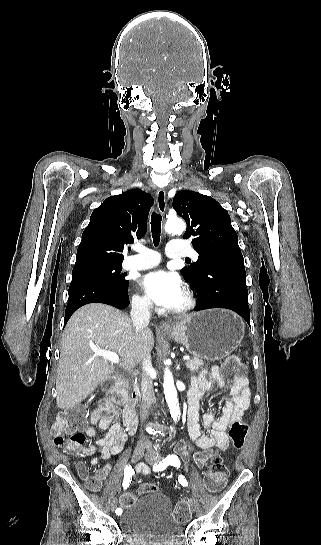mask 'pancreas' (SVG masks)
<instances>
[{
  "label": "pancreas",
  "mask_w": 321,
  "mask_h": 545,
  "mask_svg": "<svg viewBox=\"0 0 321 545\" xmlns=\"http://www.w3.org/2000/svg\"><path fill=\"white\" fill-rule=\"evenodd\" d=\"M185 365L187 369H190V371H194V373H196V371H199V369H203L205 363L202 361V359H189V361H186ZM134 391L136 395H140L137 383L134 385Z\"/></svg>",
  "instance_id": "cf45deb5"
}]
</instances>
